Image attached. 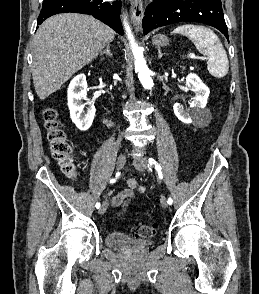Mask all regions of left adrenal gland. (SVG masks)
<instances>
[{
    "label": "left adrenal gland",
    "instance_id": "left-adrenal-gland-1",
    "mask_svg": "<svg viewBox=\"0 0 259 294\" xmlns=\"http://www.w3.org/2000/svg\"><path fill=\"white\" fill-rule=\"evenodd\" d=\"M164 54L161 52L160 49H158V59H161V57L163 56Z\"/></svg>",
    "mask_w": 259,
    "mask_h": 294
}]
</instances>
